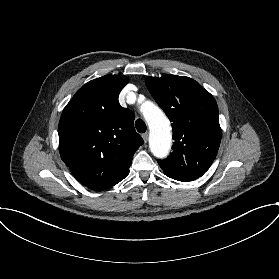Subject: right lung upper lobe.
<instances>
[{
    "instance_id": "obj_1",
    "label": "right lung upper lobe",
    "mask_w": 279,
    "mask_h": 279,
    "mask_svg": "<svg viewBox=\"0 0 279 279\" xmlns=\"http://www.w3.org/2000/svg\"><path fill=\"white\" fill-rule=\"evenodd\" d=\"M128 78L106 75L83 85L59 122L61 159L74 177L92 190L116 185L129 173L143 144L133 127L134 113L118 102Z\"/></svg>"
}]
</instances>
